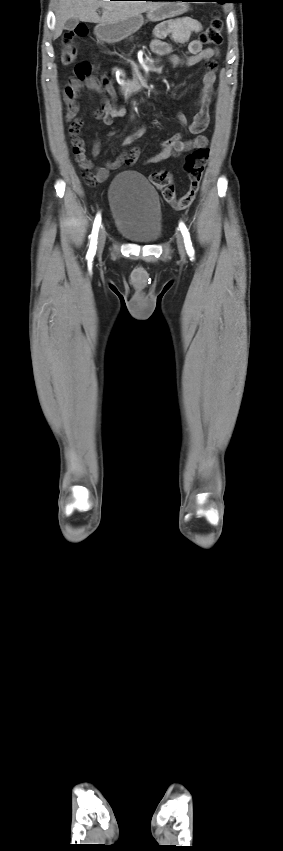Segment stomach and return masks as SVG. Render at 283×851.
<instances>
[{"instance_id":"obj_1","label":"stomach","mask_w":283,"mask_h":851,"mask_svg":"<svg viewBox=\"0 0 283 851\" xmlns=\"http://www.w3.org/2000/svg\"><path fill=\"white\" fill-rule=\"evenodd\" d=\"M184 1L174 0L170 2H162L156 8L148 11L147 18L150 21L157 22L166 18H172L182 15L188 10V4ZM143 24L142 15L131 17L127 20L118 23L107 24L101 23L95 27L96 36L105 42H119L137 31Z\"/></svg>"}]
</instances>
